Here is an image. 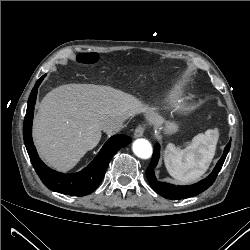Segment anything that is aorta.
I'll return each mask as SVG.
<instances>
[{
    "label": "aorta",
    "mask_w": 250,
    "mask_h": 250,
    "mask_svg": "<svg viewBox=\"0 0 250 250\" xmlns=\"http://www.w3.org/2000/svg\"><path fill=\"white\" fill-rule=\"evenodd\" d=\"M133 152L142 159H148L152 155V146L146 139H137L133 143Z\"/></svg>",
    "instance_id": "aorta-1"
}]
</instances>
